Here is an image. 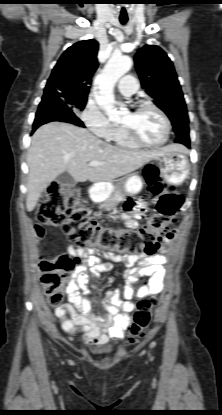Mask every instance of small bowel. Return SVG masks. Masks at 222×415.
<instances>
[{
  "mask_svg": "<svg viewBox=\"0 0 222 415\" xmlns=\"http://www.w3.org/2000/svg\"><path fill=\"white\" fill-rule=\"evenodd\" d=\"M126 211L129 214L128 225L136 226V221L131 218L133 204H128ZM175 234L176 230L167 233L161 251H165ZM68 252L77 263L68 294L79 314L68 317V308L58 307L55 316L62 330L69 335H80L86 344L104 345L111 340H120L129 325V313L135 307L131 298H144L162 291L167 256L99 254L72 245L68 247ZM113 263L126 266L124 278L127 286L122 291L116 289L108 292L100 300L91 299V286L97 284L100 273L112 270ZM139 277H147L148 282L134 289L132 285ZM94 308L99 311L94 312Z\"/></svg>",
  "mask_w": 222,
  "mask_h": 415,
  "instance_id": "small-bowel-1",
  "label": "small bowel"
}]
</instances>
